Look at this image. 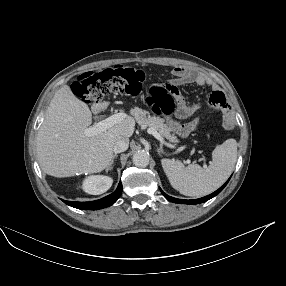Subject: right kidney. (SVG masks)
Returning a JSON list of instances; mask_svg holds the SVG:
<instances>
[{
	"instance_id": "right-kidney-1",
	"label": "right kidney",
	"mask_w": 286,
	"mask_h": 286,
	"mask_svg": "<svg viewBox=\"0 0 286 286\" xmlns=\"http://www.w3.org/2000/svg\"><path fill=\"white\" fill-rule=\"evenodd\" d=\"M112 183L111 177L95 175L86 178L82 188L88 194L99 195L106 192L112 186Z\"/></svg>"
}]
</instances>
